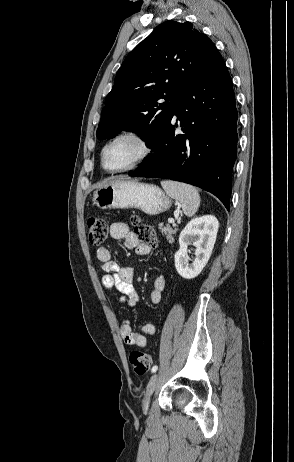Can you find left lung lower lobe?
<instances>
[{
    "label": "left lung lower lobe",
    "mask_w": 294,
    "mask_h": 462,
    "mask_svg": "<svg viewBox=\"0 0 294 462\" xmlns=\"http://www.w3.org/2000/svg\"><path fill=\"white\" fill-rule=\"evenodd\" d=\"M160 138L130 176L157 177L198 186L230 209L236 159L237 118L232 80L224 60L203 71L184 90ZM173 118V117H172ZM182 133L176 135L175 128Z\"/></svg>",
    "instance_id": "1"
}]
</instances>
